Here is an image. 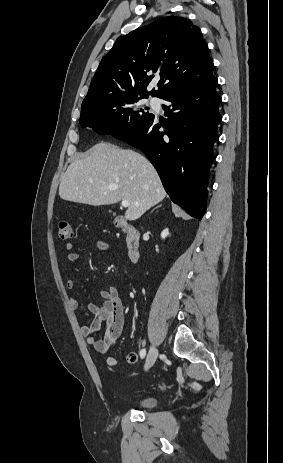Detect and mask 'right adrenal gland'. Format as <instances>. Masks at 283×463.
<instances>
[{
    "label": "right adrenal gland",
    "mask_w": 283,
    "mask_h": 463,
    "mask_svg": "<svg viewBox=\"0 0 283 463\" xmlns=\"http://www.w3.org/2000/svg\"><path fill=\"white\" fill-rule=\"evenodd\" d=\"M161 206H162V204H160L159 206L155 207L154 209H157V208H159V207H161Z\"/></svg>",
    "instance_id": "right-adrenal-gland-1"
}]
</instances>
